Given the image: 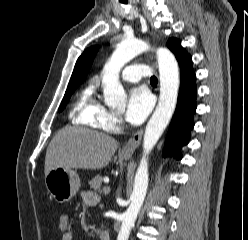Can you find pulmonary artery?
<instances>
[{
	"label": "pulmonary artery",
	"instance_id": "e3ab8cb5",
	"mask_svg": "<svg viewBox=\"0 0 248 240\" xmlns=\"http://www.w3.org/2000/svg\"><path fill=\"white\" fill-rule=\"evenodd\" d=\"M150 75V70L143 64L129 65L121 73L123 80L134 83L139 82L142 78H148Z\"/></svg>",
	"mask_w": 248,
	"mask_h": 240
}]
</instances>
